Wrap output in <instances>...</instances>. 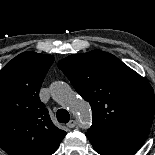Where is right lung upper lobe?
<instances>
[{"label":"right lung upper lobe","mask_w":155,"mask_h":155,"mask_svg":"<svg viewBox=\"0 0 155 155\" xmlns=\"http://www.w3.org/2000/svg\"><path fill=\"white\" fill-rule=\"evenodd\" d=\"M53 62L51 55L27 51L0 70V147L9 155H51L66 135L39 98Z\"/></svg>","instance_id":"obj_1"}]
</instances>
